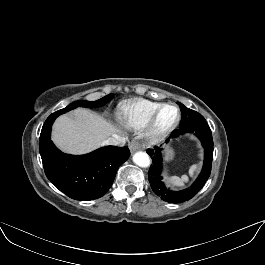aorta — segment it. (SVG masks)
<instances>
[{
    "label": "aorta",
    "mask_w": 265,
    "mask_h": 265,
    "mask_svg": "<svg viewBox=\"0 0 265 265\" xmlns=\"http://www.w3.org/2000/svg\"><path fill=\"white\" fill-rule=\"evenodd\" d=\"M133 162L139 167H149L151 164V159L149 155L145 152H137L133 155Z\"/></svg>",
    "instance_id": "1"
}]
</instances>
